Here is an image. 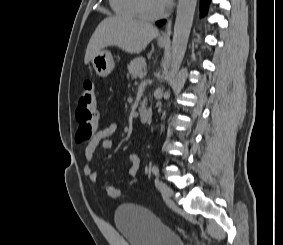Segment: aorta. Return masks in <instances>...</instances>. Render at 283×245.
Masks as SVG:
<instances>
[{
  "mask_svg": "<svg viewBox=\"0 0 283 245\" xmlns=\"http://www.w3.org/2000/svg\"><path fill=\"white\" fill-rule=\"evenodd\" d=\"M197 0H179L174 24L170 70L167 80L176 76L183 61L193 23Z\"/></svg>",
  "mask_w": 283,
  "mask_h": 245,
  "instance_id": "762f6f07",
  "label": "aorta"
}]
</instances>
